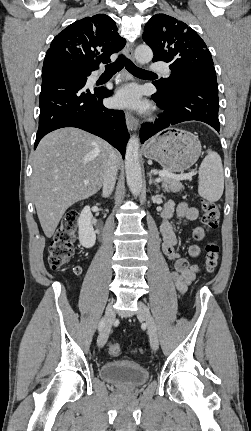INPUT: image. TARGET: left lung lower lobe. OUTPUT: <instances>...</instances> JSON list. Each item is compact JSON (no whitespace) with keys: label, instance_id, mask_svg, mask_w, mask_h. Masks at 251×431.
Returning a JSON list of instances; mask_svg holds the SVG:
<instances>
[{"label":"left lung lower lobe","instance_id":"obj_1","mask_svg":"<svg viewBox=\"0 0 251 431\" xmlns=\"http://www.w3.org/2000/svg\"><path fill=\"white\" fill-rule=\"evenodd\" d=\"M153 84L157 93L151 98L164 113L154 123L142 126L141 143L169 126L190 120L205 122L219 132L217 82L207 79L183 81L171 92L164 91L156 82Z\"/></svg>","mask_w":251,"mask_h":431}]
</instances>
